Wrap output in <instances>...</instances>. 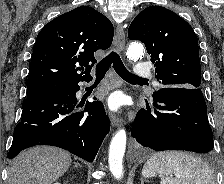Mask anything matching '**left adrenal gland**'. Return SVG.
<instances>
[{
	"instance_id": "left-adrenal-gland-1",
	"label": "left adrenal gland",
	"mask_w": 224,
	"mask_h": 184,
	"mask_svg": "<svg viewBox=\"0 0 224 184\" xmlns=\"http://www.w3.org/2000/svg\"><path fill=\"white\" fill-rule=\"evenodd\" d=\"M141 184H144V179L143 178H141Z\"/></svg>"
}]
</instances>
